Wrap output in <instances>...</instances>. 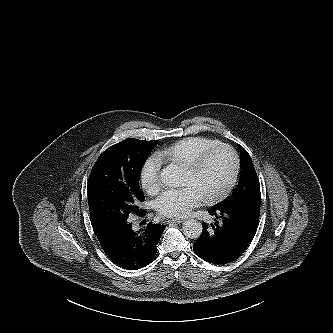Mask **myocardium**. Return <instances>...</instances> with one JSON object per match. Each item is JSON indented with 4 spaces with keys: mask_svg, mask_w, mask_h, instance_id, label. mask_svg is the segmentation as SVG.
Returning <instances> with one entry per match:
<instances>
[{
    "mask_svg": "<svg viewBox=\"0 0 333 333\" xmlns=\"http://www.w3.org/2000/svg\"><path fill=\"white\" fill-rule=\"evenodd\" d=\"M222 148L228 149L232 152V154L234 156V161H235L234 170H233V173H232L230 179L228 180V182L225 184V186L222 189H220L218 192L204 198L205 203H208V204H212V203H215V202H218V201L224 199L226 196H228V194L234 188V186L238 180L240 170H241V159H240V155L237 152V150L228 143L220 142V143H217V144L203 150L191 162H189L188 164H186L183 167V169L185 171H187L189 173H195L202 168V166L205 164L207 159L215 151L222 149Z\"/></svg>",
    "mask_w": 333,
    "mask_h": 333,
    "instance_id": "obj_1",
    "label": "myocardium"
}]
</instances>
